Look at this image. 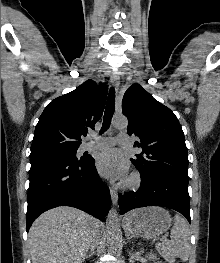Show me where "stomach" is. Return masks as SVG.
Listing matches in <instances>:
<instances>
[{"label":"stomach","instance_id":"obj_1","mask_svg":"<svg viewBox=\"0 0 220 263\" xmlns=\"http://www.w3.org/2000/svg\"><path fill=\"white\" fill-rule=\"evenodd\" d=\"M172 223L168 211L161 207L135 209L124 216L123 227L127 233L153 238L166 232Z\"/></svg>","mask_w":220,"mask_h":263}]
</instances>
